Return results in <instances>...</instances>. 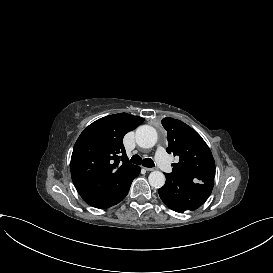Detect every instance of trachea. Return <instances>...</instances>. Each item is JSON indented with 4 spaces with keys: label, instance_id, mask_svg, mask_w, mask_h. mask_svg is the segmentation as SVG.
Here are the masks:
<instances>
[{
    "label": "trachea",
    "instance_id": "1",
    "mask_svg": "<svg viewBox=\"0 0 273 273\" xmlns=\"http://www.w3.org/2000/svg\"><path fill=\"white\" fill-rule=\"evenodd\" d=\"M130 162L136 164V165H143L144 167L147 168H153L154 162L151 158H144L142 159L139 155H134L132 156V158L130 159Z\"/></svg>",
    "mask_w": 273,
    "mask_h": 273
}]
</instances>
